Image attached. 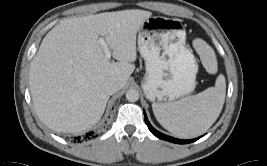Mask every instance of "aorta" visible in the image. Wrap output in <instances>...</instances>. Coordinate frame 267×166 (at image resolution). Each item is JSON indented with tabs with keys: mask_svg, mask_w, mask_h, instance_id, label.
<instances>
[{
	"mask_svg": "<svg viewBox=\"0 0 267 166\" xmlns=\"http://www.w3.org/2000/svg\"><path fill=\"white\" fill-rule=\"evenodd\" d=\"M126 99L129 102H136L139 99V92L136 89H129L126 92Z\"/></svg>",
	"mask_w": 267,
	"mask_h": 166,
	"instance_id": "1",
	"label": "aorta"
}]
</instances>
